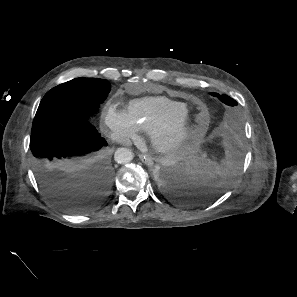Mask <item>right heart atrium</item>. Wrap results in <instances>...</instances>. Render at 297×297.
I'll return each instance as SVG.
<instances>
[{
    "instance_id": "1",
    "label": "right heart atrium",
    "mask_w": 297,
    "mask_h": 297,
    "mask_svg": "<svg viewBox=\"0 0 297 297\" xmlns=\"http://www.w3.org/2000/svg\"><path fill=\"white\" fill-rule=\"evenodd\" d=\"M103 126L108 130L111 138L120 143L137 141L140 137L139 129L129 118L126 111L108 104L102 115Z\"/></svg>"
}]
</instances>
